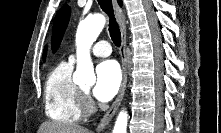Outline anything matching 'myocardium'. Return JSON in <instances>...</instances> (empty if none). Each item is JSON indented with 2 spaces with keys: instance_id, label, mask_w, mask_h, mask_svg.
I'll list each match as a JSON object with an SVG mask.
<instances>
[{
  "instance_id": "obj_1",
  "label": "myocardium",
  "mask_w": 221,
  "mask_h": 133,
  "mask_svg": "<svg viewBox=\"0 0 221 133\" xmlns=\"http://www.w3.org/2000/svg\"><path fill=\"white\" fill-rule=\"evenodd\" d=\"M80 106L82 112L84 113H89L91 111L90 107L87 104V92L83 89H80Z\"/></svg>"
}]
</instances>
